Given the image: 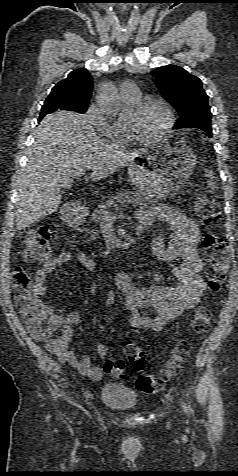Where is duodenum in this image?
<instances>
[{
    "label": "duodenum",
    "mask_w": 238,
    "mask_h": 476,
    "mask_svg": "<svg viewBox=\"0 0 238 476\" xmlns=\"http://www.w3.org/2000/svg\"><path fill=\"white\" fill-rule=\"evenodd\" d=\"M88 215H89L88 210H77V211L69 212L66 215V219L70 223L78 224V223L84 221L87 218Z\"/></svg>",
    "instance_id": "410a0bca"
}]
</instances>
